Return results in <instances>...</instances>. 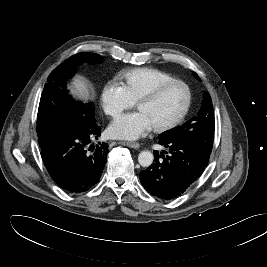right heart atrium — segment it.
<instances>
[{"instance_id": "right-heart-atrium-1", "label": "right heart atrium", "mask_w": 267, "mask_h": 267, "mask_svg": "<svg viewBox=\"0 0 267 267\" xmlns=\"http://www.w3.org/2000/svg\"><path fill=\"white\" fill-rule=\"evenodd\" d=\"M101 105L110 117H117L123 111L133 107L134 102L129 98L124 87L118 83L106 84L101 92Z\"/></svg>"}]
</instances>
